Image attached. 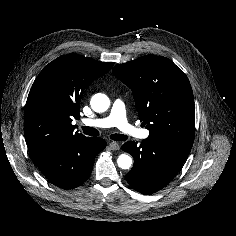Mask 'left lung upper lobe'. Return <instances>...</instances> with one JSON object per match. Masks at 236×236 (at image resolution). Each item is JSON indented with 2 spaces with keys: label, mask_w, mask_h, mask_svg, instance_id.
<instances>
[{
  "label": "left lung upper lobe",
  "mask_w": 236,
  "mask_h": 236,
  "mask_svg": "<svg viewBox=\"0 0 236 236\" xmlns=\"http://www.w3.org/2000/svg\"><path fill=\"white\" fill-rule=\"evenodd\" d=\"M133 92L139 119L149 136L192 147L195 109L186 74L170 59L146 55L113 68Z\"/></svg>",
  "instance_id": "obj_1"
}]
</instances>
